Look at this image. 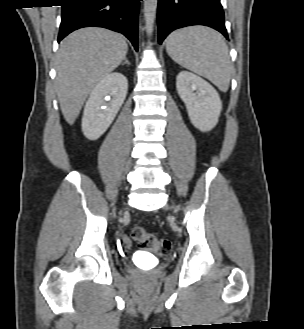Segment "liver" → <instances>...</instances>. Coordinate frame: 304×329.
Listing matches in <instances>:
<instances>
[{
	"label": "liver",
	"instance_id": "1",
	"mask_svg": "<svg viewBox=\"0 0 304 329\" xmlns=\"http://www.w3.org/2000/svg\"><path fill=\"white\" fill-rule=\"evenodd\" d=\"M124 37L113 31L88 27L74 31L56 55V92L62 114L73 124L90 92L125 59Z\"/></svg>",
	"mask_w": 304,
	"mask_h": 329
}]
</instances>
